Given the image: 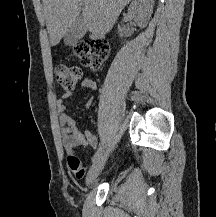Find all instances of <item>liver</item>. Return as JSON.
<instances>
[{
	"label": "liver",
	"mask_w": 216,
	"mask_h": 217,
	"mask_svg": "<svg viewBox=\"0 0 216 217\" xmlns=\"http://www.w3.org/2000/svg\"><path fill=\"white\" fill-rule=\"evenodd\" d=\"M131 0H43L50 44L57 45L82 12L85 30L104 35L115 24L123 8Z\"/></svg>",
	"instance_id": "liver-1"
}]
</instances>
